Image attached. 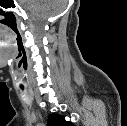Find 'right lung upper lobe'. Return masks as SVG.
Returning a JSON list of instances; mask_svg holds the SVG:
<instances>
[{"label":"right lung upper lobe","instance_id":"right-lung-upper-lobe-1","mask_svg":"<svg viewBox=\"0 0 127 126\" xmlns=\"http://www.w3.org/2000/svg\"><path fill=\"white\" fill-rule=\"evenodd\" d=\"M47 126H73L70 122L66 121L63 116L58 114H50L48 116Z\"/></svg>","mask_w":127,"mask_h":126}]
</instances>
